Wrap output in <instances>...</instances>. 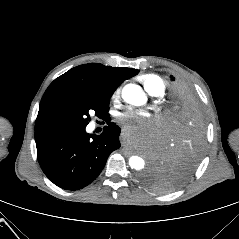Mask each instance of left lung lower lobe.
<instances>
[{"mask_svg":"<svg viewBox=\"0 0 239 239\" xmlns=\"http://www.w3.org/2000/svg\"><path fill=\"white\" fill-rule=\"evenodd\" d=\"M183 121L184 122H188L189 121V125H191V129L192 131H195L194 133H199L200 131L203 130V126H204V119H203V111L202 108L200 106L197 105H193V106H189L188 108H186L183 112ZM172 133L169 131L166 138H165V142L162 145V150L161 152L154 158L152 165L151 166H158L160 162V155L162 153V151L164 150V148L169 144L170 141H173L172 138L173 136L171 135ZM193 136V140L191 141V143L187 144L188 148H183L185 150H183V152L185 155H193L194 153H196V149H198V147H200V142H198L199 140V136L197 134H192ZM190 157V156H189Z\"/></svg>","mask_w":239,"mask_h":239,"instance_id":"left-lung-lower-lobe-1","label":"left lung lower lobe"}]
</instances>
